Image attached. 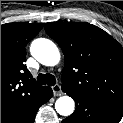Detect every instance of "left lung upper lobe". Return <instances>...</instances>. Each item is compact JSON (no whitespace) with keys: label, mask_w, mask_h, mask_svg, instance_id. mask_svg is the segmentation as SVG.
Wrapping results in <instances>:
<instances>
[{"label":"left lung upper lobe","mask_w":123,"mask_h":123,"mask_svg":"<svg viewBox=\"0 0 123 123\" xmlns=\"http://www.w3.org/2000/svg\"><path fill=\"white\" fill-rule=\"evenodd\" d=\"M45 31L63 51L65 91L123 109V47L86 22H49Z\"/></svg>","instance_id":"1"}]
</instances>
